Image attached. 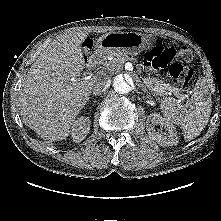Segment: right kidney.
Returning a JSON list of instances; mask_svg holds the SVG:
<instances>
[{
	"label": "right kidney",
	"instance_id": "ca27d5eb",
	"mask_svg": "<svg viewBox=\"0 0 221 221\" xmlns=\"http://www.w3.org/2000/svg\"><path fill=\"white\" fill-rule=\"evenodd\" d=\"M90 124V119L83 116L73 122L71 136L74 142L79 143L86 138V135L90 131Z\"/></svg>",
	"mask_w": 221,
	"mask_h": 221
}]
</instances>
